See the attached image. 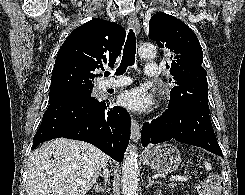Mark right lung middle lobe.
Here are the masks:
<instances>
[{
  "label": "right lung middle lobe",
  "instance_id": "1",
  "mask_svg": "<svg viewBox=\"0 0 245 195\" xmlns=\"http://www.w3.org/2000/svg\"><path fill=\"white\" fill-rule=\"evenodd\" d=\"M92 87H80L49 94V103L91 97Z\"/></svg>",
  "mask_w": 245,
  "mask_h": 195
}]
</instances>
